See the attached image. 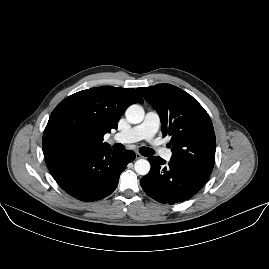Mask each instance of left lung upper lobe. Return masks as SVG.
<instances>
[{"instance_id":"5c2ea615","label":"left lung upper lobe","mask_w":269,"mask_h":269,"mask_svg":"<svg viewBox=\"0 0 269 269\" xmlns=\"http://www.w3.org/2000/svg\"><path fill=\"white\" fill-rule=\"evenodd\" d=\"M148 103L158 112L163 135H170L172 161L212 172L216 139L208 113L191 95L182 89L159 84L138 88Z\"/></svg>"}]
</instances>
